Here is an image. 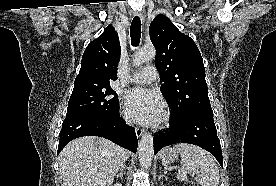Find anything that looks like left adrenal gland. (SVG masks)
<instances>
[{
	"label": "left adrenal gland",
	"instance_id": "obj_1",
	"mask_svg": "<svg viewBox=\"0 0 276 186\" xmlns=\"http://www.w3.org/2000/svg\"><path fill=\"white\" fill-rule=\"evenodd\" d=\"M162 177H165V176L160 172L159 176H158V179L160 180ZM165 179H167V178L165 177Z\"/></svg>",
	"mask_w": 276,
	"mask_h": 186
}]
</instances>
